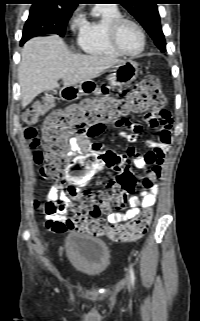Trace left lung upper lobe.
Listing matches in <instances>:
<instances>
[{
    "label": "left lung upper lobe",
    "mask_w": 200,
    "mask_h": 321,
    "mask_svg": "<svg viewBox=\"0 0 200 321\" xmlns=\"http://www.w3.org/2000/svg\"><path fill=\"white\" fill-rule=\"evenodd\" d=\"M119 3L138 20L158 48L165 52V38L156 5L158 0H119Z\"/></svg>",
    "instance_id": "5c2ea615"
}]
</instances>
